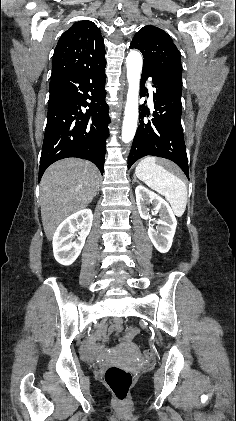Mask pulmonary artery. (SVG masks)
<instances>
[{"instance_id":"1","label":"pulmonary artery","mask_w":236,"mask_h":421,"mask_svg":"<svg viewBox=\"0 0 236 421\" xmlns=\"http://www.w3.org/2000/svg\"><path fill=\"white\" fill-rule=\"evenodd\" d=\"M149 102H150V103H152V102H153V99H152V92L150 93Z\"/></svg>"}]
</instances>
